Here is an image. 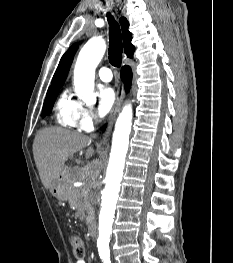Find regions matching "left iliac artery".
I'll use <instances>...</instances> for the list:
<instances>
[{
	"instance_id": "obj_1",
	"label": "left iliac artery",
	"mask_w": 233,
	"mask_h": 263,
	"mask_svg": "<svg viewBox=\"0 0 233 263\" xmlns=\"http://www.w3.org/2000/svg\"><path fill=\"white\" fill-rule=\"evenodd\" d=\"M104 263H111V261H104Z\"/></svg>"
}]
</instances>
